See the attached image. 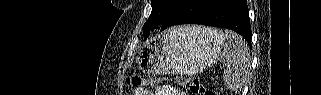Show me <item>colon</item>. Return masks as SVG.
Wrapping results in <instances>:
<instances>
[{"mask_svg":"<svg viewBox=\"0 0 321 95\" xmlns=\"http://www.w3.org/2000/svg\"><path fill=\"white\" fill-rule=\"evenodd\" d=\"M126 81L133 87H156L161 82V77H142L135 74H130L126 77ZM175 83L185 88L192 94H203V95H217V93L205 87L200 80L189 77H176Z\"/></svg>","mask_w":321,"mask_h":95,"instance_id":"1","label":"colon"}]
</instances>
